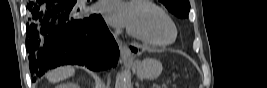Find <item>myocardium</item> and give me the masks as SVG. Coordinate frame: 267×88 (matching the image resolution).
<instances>
[{
    "label": "myocardium",
    "mask_w": 267,
    "mask_h": 88,
    "mask_svg": "<svg viewBox=\"0 0 267 88\" xmlns=\"http://www.w3.org/2000/svg\"><path fill=\"white\" fill-rule=\"evenodd\" d=\"M133 4H135V5H143V6H146L148 8H152V9L158 11L161 15L165 16L170 21V23H171V25L173 27L174 36L170 41H167V42H155V41H151L149 39H146V38L142 37L141 35L135 33L133 30H131L128 27L127 28V32L131 37H133V38H135V39H137V40H139V41H141L143 43H146L148 45L159 46V47H164V46L171 45L176 41L177 36H178L177 26H176L175 22L173 21V19L163 9H161L158 6H156L152 2L145 1V0H136V1H133Z\"/></svg>",
    "instance_id": "f54148a6"
}]
</instances>
